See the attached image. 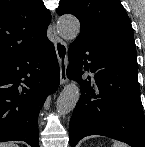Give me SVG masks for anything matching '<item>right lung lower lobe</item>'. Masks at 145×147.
I'll return each mask as SVG.
<instances>
[{"label": "right lung lower lobe", "instance_id": "right-lung-lower-lobe-1", "mask_svg": "<svg viewBox=\"0 0 145 147\" xmlns=\"http://www.w3.org/2000/svg\"><path fill=\"white\" fill-rule=\"evenodd\" d=\"M59 80V64L49 39L0 63V142L19 140L39 147L37 118Z\"/></svg>", "mask_w": 145, "mask_h": 147}]
</instances>
